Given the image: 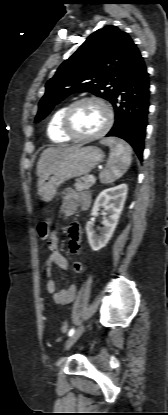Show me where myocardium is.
<instances>
[{"label": "myocardium", "instance_id": "f54148a6", "mask_svg": "<svg viewBox=\"0 0 168 415\" xmlns=\"http://www.w3.org/2000/svg\"><path fill=\"white\" fill-rule=\"evenodd\" d=\"M86 102H94V103L99 104L105 110L106 121L102 129L98 131L97 133L83 136V135H78L77 133L73 131L71 127V117H72L74 110L79 105L86 103ZM112 124H113L112 109L105 101L94 96L80 98L74 101L73 103H71L70 105H68L63 113L62 120H61V128H62L63 133L67 137H69L71 140H75V141H92V140L99 139L103 137L109 131Z\"/></svg>", "mask_w": 168, "mask_h": 415}]
</instances>
